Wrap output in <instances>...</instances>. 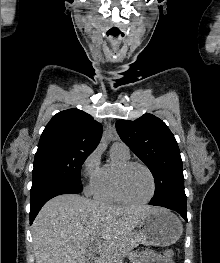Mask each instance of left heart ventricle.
I'll use <instances>...</instances> for the list:
<instances>
[{
    "mask_svg": "<svg viewBox=\"0 0 220 263\" xmlns=\"http://www.w3.org/2000/svg\"><path fill=\"white\" fill-rule=\"evenodd\" d=\"M151 179L148 173L139 166L126 171L123 177L125 194L132 200H143L151 192Z\"/></svg>",
    "mask_w": 220,
    "mask_h": 263,
    "instance_id": "b2bd125f",
    "label": "left heart ventricle"
}]
</instances>
